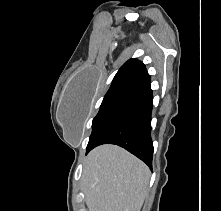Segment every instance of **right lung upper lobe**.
Listing matches in <instances>:
<instances>
[{"label":"right lung upper lobe","instance_id":"1","mask_svg":"<svg viewBox=\"0 0 221 211\" xmlns=\"http://www.w3.org/2000/svg\"><path fill=\"white\" fill-rule=\"evenodd\" d=\"M148 86H150V76L145 65L137 59H130L119 69L108 92L117 90L138 92Z\"/></svg>","mask_w":221,"mask_h":211}]
</instances>
